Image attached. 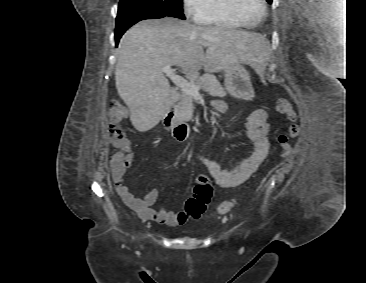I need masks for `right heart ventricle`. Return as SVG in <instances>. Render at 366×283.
<instances>
[{
    "instance_id": "right-heart-ventricle-1",
    "label": "right heart ventricle",
    "mask_w": 366,
    "mask_h": 283,
    "mask_svg": "<svg viewBox=\"0 0 366 283\" xmlns=\"http://www.w3.org/2000/svg\"><path fill=\"white\" fill-rule=\"evenodd\" d=\"M199 23L220 29H238L240 25L230 16L225 0H208L206 10L198 20Z\"/></svg>"
}]
</instances>
